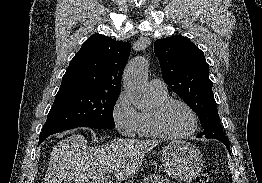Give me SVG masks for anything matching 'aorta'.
<instances>
[{"label":"aorta","mask_w":262,"mask_h":183,"mask_svg":"<svg viewBox=\"0 0 262 183\" xmlns=\"http://www.w3.org/2000/svg\"><path fill=\"white\" fill-rule=\"evenodd\" d=\"M147 68V61L142 57H138L126 65L123 74V87L128 99L136 108L142 111L150 106L146 81Z\"/></svg>","instance_id":"aorta-1"}]
</instances>
